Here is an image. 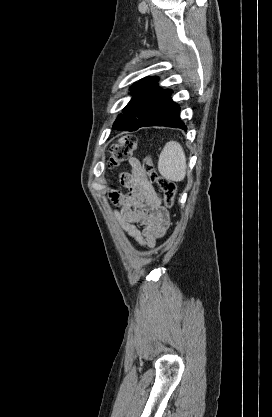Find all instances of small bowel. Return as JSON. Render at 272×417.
<instances>
[{"label":"small bowel","instance_id":"obj_1","mask_svg":"<svg viewBox=\"0 0 272 417\" xmlns=\"http://www.w3.org/2000/svg\"><path fill=\"white\" fill-rule=\"evenodd\" d=\"M131 171L121 176L126 194L112 192V201L119 206L117 220L123 231L140 247H154L165 235L170 224L168 210L162 206L161 196L147 180L138 159L128 160Z\"/></svg>","mask_w":272,"mask_h":417}]
</instances>
